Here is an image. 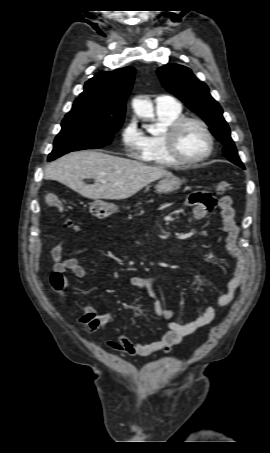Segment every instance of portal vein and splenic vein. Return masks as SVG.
<instances>
[{"instance_id": "1", "label": "portal vein and splenic vein", "mask_w": 270, "mask_h": 453, "mask_svg": "<svg viewBox=\"0 0 270 453\" xmlns=\"http://www.w3.org/2000/svg\"><path fill=\"white\" fill-rule=\"evenodd\" d=\"M100 182L103 183V184L107 183L106 180H100Z\"/></svg>"}]
</instances>
